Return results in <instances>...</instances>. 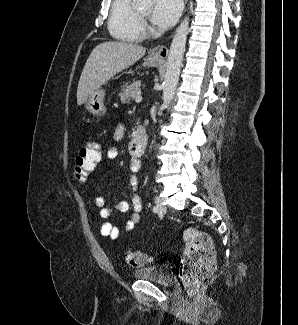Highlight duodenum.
Returning a JSON list of instances; mask_svg holds the SVG:
<instances>
[{"mask_svg":"<svg viewBox=\"0 0 298 325\" xmlns=\"http://www.w3.org/2000/svg\"><path fill=\"white\" fill-rule=\"evenodd\" d=\"M147 144V133L144 128H139L129 143V151L134 157L143 155Z\"/></svg>","mask_w":298,"mask_h":325,"instance_id":"410a0bca","label":"duodenum"}]
</instances>
